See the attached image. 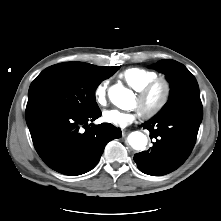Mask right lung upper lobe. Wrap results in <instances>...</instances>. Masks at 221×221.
I'll list each match as a JSON object with an SVG mask.
<instances>
[{"label":"right lung upper lobe","mask_w":221,"mask_h":221,"mask_svg":"<svg viewBox=\"0 0 221 221\" xmlns=\"http://www.w3.org/2000/svg\"><path fill=\"white\" fill-rule=\"evenodd\" d=\"M67 63L71 64L72 66L78 69H82L88 72H101L105 71L108 68V67L95 66L84 62H67Z\"/></svg>","instance_id":"cb5924a9"}]
</instances>
